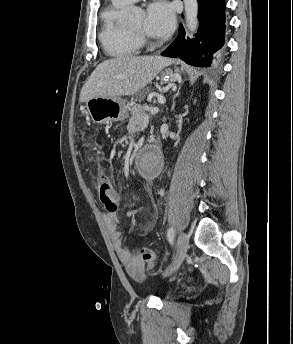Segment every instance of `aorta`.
Segmentation results:
<instances>
[{
  "instance_id": "1",
  "label": "aorta",
  "mask_w": 293,
  "mask_h": 344,
  "mask_svg": "<svg viewBox=\"0 0 293 344\" xmlns=\"http://www.w3.org/2000/svg\"><path fill=\"white\" fill-rule=\"evenodd\" d=\"M184 3V11H185V20L187 29L194 33L198 27V1L197 0H183ZM141 10L139 8L133 9L128 14V19H133L134 16L139 13ZM154 155L153 154H144L139 162V168L141 171H147L149 165L153 162Z\"/></svg>"
}]
</instances>
